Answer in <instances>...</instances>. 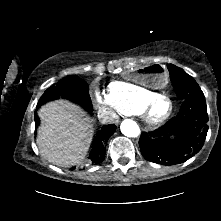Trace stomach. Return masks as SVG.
I'll list each match as a JSON object with an SVG mask.
<instances>
[{"instance_id":"0dacf381","label":"stomach","mask_w":221,"mask_h":221,"mask_svg":"<svg viewBox=\"0 0 221 221\" xmlns=\"http://www.w3.org/2000/svg\"><path fill=\"white\" fill-rule=\"evenodd\" d=\"M127 79L132 84L160 88L167 83L168 74L161 65L150 64L145 68H130L127 72Z\"/></svg>"}]
</instances>
